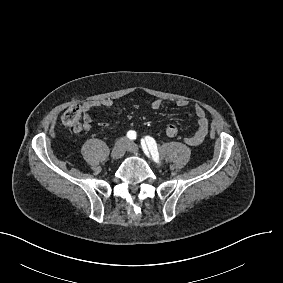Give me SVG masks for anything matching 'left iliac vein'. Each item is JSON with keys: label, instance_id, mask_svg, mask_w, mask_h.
<instances>
[{"label": "left iliac vein", "instance_id": "obj_1", "mask_svg": "<svg viewBox=\"0 0 283 283\" xmlns=\"http://www.w3.org/2000/svg\"><path fill=\"white\" fill-rule=\"evenodd\" d=\"M127 151H129L133 154H137L139 152V149H138V146L135 143L130 142L128 144Z\"/></svg>", "mask_w": 283, "mask_h": 283}]
</instances>
